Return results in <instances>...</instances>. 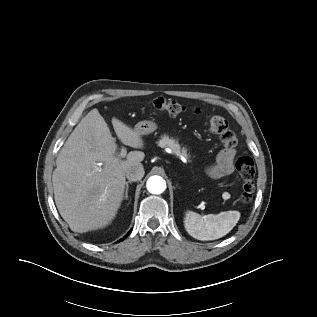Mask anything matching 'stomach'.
Instances as JSON below:
<instances>
[{"mask_svg": "<svg viewBox=\"0 0 317 317\" xmlns=\"http://www.w3.org/2000/svg\"><path fill=\"white\" fill-rule=\"evenodd\" d=\"M157 129V124L150 120H144L136 124L135 130L141 135H147L154 132Z\"/></svg>", "mask_w": 317, "mask_h": 317, "instance_id": "0dacf381", "label": "stomach"}]
</instances>
